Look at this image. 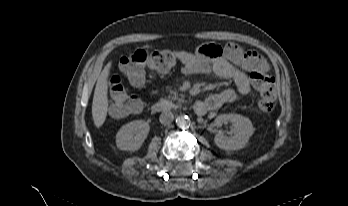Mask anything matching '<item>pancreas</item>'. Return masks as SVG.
I'll return each instance as SVG.
<instances>
[{"label": "pancreas", "mask_w": 348, "mask_h": 206, "mask_svg": "<svg viewBox=\"0 0 348 206\" xmlns=\"http://www.w3.org/2000/svg\"><path fill=\"white\" fill-rule=\"evenodd\" d=\"M167 98L171 99V101H177L178 105L185 101V96L183 94L178 95L177 93H174L173 96L169 95Z\"/></svg>", "instance_id": "pancreas-1"}]
</instances>
